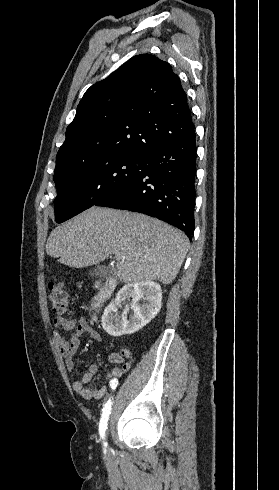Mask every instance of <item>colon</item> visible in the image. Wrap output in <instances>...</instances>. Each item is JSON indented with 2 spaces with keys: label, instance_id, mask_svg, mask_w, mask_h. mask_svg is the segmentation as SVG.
<instances>
[{
  "label": "colon",
  "instance_id": "obj_1",
  "mask_svg": "<svg viewBox=\"0 0 279 490\" xmlns=\"http://www.w3.org/2000/svg\"><path fill=\"white\" fill-rule=\"evenodd\" d=\"M49 301L52 310L59 316H66L69 312L68 294L64 285L61 283H52L49 289Z\"/></svg>",
  "mask_w": 279,
  "mask_h": 490
}]
</instances>
